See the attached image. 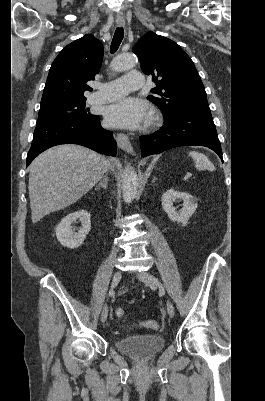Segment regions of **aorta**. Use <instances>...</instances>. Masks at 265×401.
I'll list each match as a JSON object with an SVG mask.
<instances>
[{"label":"aorta","instance_id":"762f6f07","mask_svg":"<svg viewBox=\"0 0 265 401\" xmlns=\"http://www.w3.org/2000/svg\"><path fill=\"white\" fill-rule=\"evenodd\" d=\"M119 60H121V62H119ZM136 62H138L137 56L125 52V54L114 58L110 66H112L113 70H125V68H132V66H135ZM122 188L125 203H132L133 198H135L137 194L138 176L131 166H126L123 172Z\"/></svg>","mask_w":265,"mask_h":401}]
</instances>
